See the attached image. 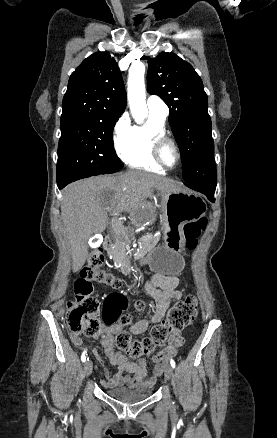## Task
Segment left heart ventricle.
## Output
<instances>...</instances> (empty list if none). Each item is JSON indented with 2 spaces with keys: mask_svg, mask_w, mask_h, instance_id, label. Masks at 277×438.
<instances>
[{
  "mask_svg": "<svg viewBox=\"0 0 277 438\" xmlns=\"http://www.w3.org/2000/svg\"><path fill=\"white\" fill-rule=\"evenodd\" d=\"M163 159L164 161L172 166L176 161V152L171 145H167L163 150Z\"/></svg>",
  "mask_w": 277,
  "mask_h": 438,
  "instance_id": "left-heart-ventricle-1",
  "label": "left heart ventricle"
}]
</instances>
